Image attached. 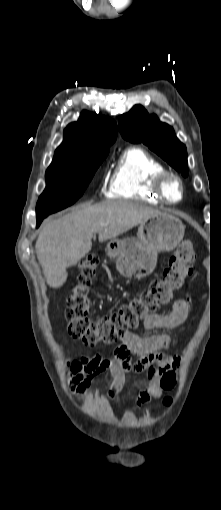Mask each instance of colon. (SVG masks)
Wrapping results in <instances>:
<instances>
[{
  "mask_svg": "<svg viewBox=\"0 0 221 510\" xmlns=\"http://www.w3.org/2000/svg\"><path fill=\"white\" fill-rule=\"evenodd\" d=\"M196 255L190 241H183L164 268L162 276L150 282L148 287L122 305L117 311L97 320L89 317L91 308V283L97 272L99 260L90 255L79 264V274L67 300L66 318L69 333L87 346L98 343H114L127 331L135 329L147 316L167 305L190 276ZM171 399L164 398L169 405Z\"/></svg>",
  "mask_w": 221,
  "mask_h": 510,
  "instance_id": "obj_1",
  "label": "colon"
}]
</instances>
